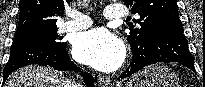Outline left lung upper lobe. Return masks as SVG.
I'll return each instance as SVG.
<instances>
[{"mask_svg":"<svg viewBox=\"0 0 205 87\" xmlns=\"http://www.w3.org/2000/svg\"><path fill=\"white\" fill-rule=\"evenodd\" d=\"M124 3L130 6L132 12L140 15V19L134 20L140 29L130 28L127 37L132 49L142 47L159 24L180 20L176 0H124Z\"/></svg>","mask_w":205,"mask_h":87,"instance_id":"1","label":"left lung upper lobe"}]
</instances>
